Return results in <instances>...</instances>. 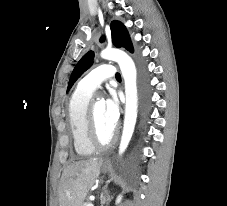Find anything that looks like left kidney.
I'll return each instance as SVG.
<instances>
[{
	"label": "left kidney",
	"mask_w": 227,
	"mask_h": 206,
	"mask_svg": "<svg viewBox=\"0 0 227 206\" xmlns=\"http://www.w3.org/2000/svg\"><path fill=\"white\" fill-rule=\"evenodd\" d=\"M121 200H122V196L119 195L116 199V204H119L121 202Z\"/></svg>",
	"instance_id": "1"
}]
</instances>
